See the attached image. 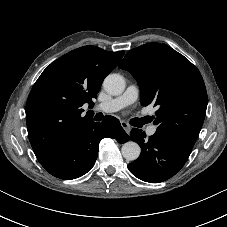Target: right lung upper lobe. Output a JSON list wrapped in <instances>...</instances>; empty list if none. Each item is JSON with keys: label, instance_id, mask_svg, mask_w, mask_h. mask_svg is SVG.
I'll list each match as a JSON object with an SVG mask.
<instances>
[{"label": "right lung upper lobe", "instance_id": "1", "mask_svg": "<svg viewBox=\"0 0 227 227\" xmlns=\"http://www.w3.org/2000/svg\"><path fill=\"white\" fill-rule=\"evenodd\" d=\"M124 53L84 46L63 55L42 72L26 104L28 136L40 163L93 121L88 113L81 115V107L93 105L92 98Z\"/></svg>", "mask_w": 227, "mask_h": 227}]
</instances>
